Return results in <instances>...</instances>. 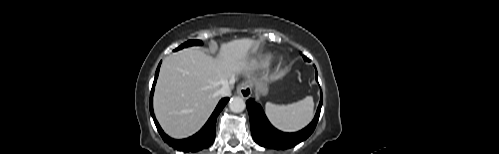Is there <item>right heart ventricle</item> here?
<instances>
[{"mask_svg": "<svg viewBox=\"0 0 499 154\" xmlns=\"http://www.w3.org/2000/svg\"><path fill=\"white\" fill-rule=\"evenodd\" d=\"M270 61H271V57L270 56H265V57H263L261 59L260 65L263 66V67H265V66H267L270 63Z\"/></svg>", "mask_w": 499, "mask_h": 154, "instance_id": "right-heart-ventricle-1", "label": "right heart ventricle"}]
</instances>
